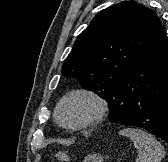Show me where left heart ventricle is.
Instances as JSON below:
<instances>
[{
	"label": "left heart ventricle",
	"mask_w": 168,
	"mask_h": 162,
	"mask_svg": "<svg viewBox=\"0 0 168 162\" xmlns=\"http://www.w3.org/2000/svg\"><path fill=\"white\" fill-rule=\"evenodd\" d=\"M92 111L91 105L80 100L67 102L61 110V119L66 124H76L86 118Z\"/></svg>",
	"instance_id": "obj_1"
}]
</instances>
